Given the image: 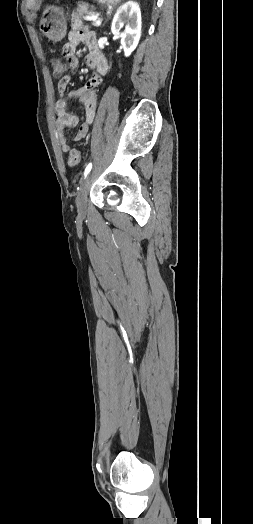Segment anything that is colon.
<instances>
[{
    "instance_id": "colon-1",
    "label": "colon",
    "mask_w": 253,
    "mask_h": 524,
    "mask_svg": "<svg viewBox=\"0 0 253 524\" xmlns=\"http://www.w3.org/2000/svg\"><path fill=\"white\" fill-rule=\"evenodd\" d=\"M50 67L52 70V76L55 79H62V76L66 74L68 68L63 59L54 58L50 61ZM82 153L78 149H72L68 155V165L70 167L78 166L82 161Z\"/></svg>"
}]
</instances>
